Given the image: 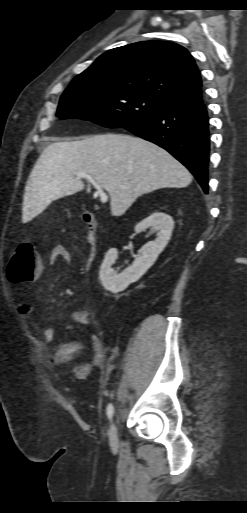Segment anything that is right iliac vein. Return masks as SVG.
Here are the masks:
<instances>
[{
	"instance_id": "63e3f726",
	"label": "right iliac vein",
	"mask_w": 247,
	"mask_h": 513,
	"mask_svg": "<svg viewBox=\"0 0 247 513\" xmlns=\"http://www.w3.org/2000/svg\"><path fill=\"white\" fill-rule=\"evenodd\" d=\"M109 444L112 451H116L118 448V434H117V424L116 421L113 420L110 429H109Z\"/></svg>"
}]
</instances>
